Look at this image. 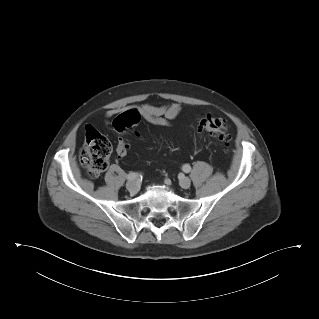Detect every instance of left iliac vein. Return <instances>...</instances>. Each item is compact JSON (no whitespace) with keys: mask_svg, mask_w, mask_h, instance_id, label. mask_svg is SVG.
Segmentation results:
<instances>
[{"mask_svg":"<svg viewBox=\"0 0 319 319\" xmlns=\"http://www.w3.org/2000/svg\"><path fill=\"white\" fill-rule=\"evenodd\" d=\"M180 186L184 189H187L191 185V181L188 177L181 176L179 179Z\"/></svg>","mask_w":319,"mask_h":319,"instance_id":"1","label":"left iliac vein"}]
</instances>
